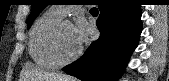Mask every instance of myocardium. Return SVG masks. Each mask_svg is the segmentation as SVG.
Wrapping results in <instances>:
<instances>
[{
    "label": "myocardium",
    "instance_id": "1",
    "mask_svg": "<svg viewBox=\"0 0 169 81\" xmlns=\"http://www.w3.org/2000/svg\"><path fill=\"white\" fill-rule=\"evenodd\" d=\"M65 23L70 24V22H68V21L58 22L55 25V27L53 28L51 36H50V45H49L50 52H51L52 57L58 63V65H65V64H68V63L74 61L75 59H77L80 56V54L82 52L81 47H79L78 50L69 57H64L61 54V52L59 50V44H58L59 33H60V29H61L62 25L65 24Z\"/></svg>",
    "mask_w": 169,
    "mask_h": 81
}]
</instances>
